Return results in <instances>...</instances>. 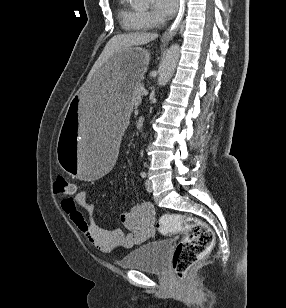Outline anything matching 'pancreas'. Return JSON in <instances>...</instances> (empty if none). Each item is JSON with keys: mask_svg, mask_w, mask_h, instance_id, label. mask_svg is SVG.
Instances as JSON below:
<instances>
[{"mask_svg": "<svg viewBox=\"0 0 286 308\" xmlns=\"http://www.w3.org/2000/svg\"><path fill=\"white\" fill-rule=\"evenodd\" d=\"M144 87L143 84L141 82H138L135 87L134 90L132 92V97L135 99V101L140 102L141 101V97L143 95L142 91H143Z\"/></svg>", "mask_w": 286, "mask_h": 308, "instance_id": "cf45deb5", "label": "pancreas"}]
</instances>
